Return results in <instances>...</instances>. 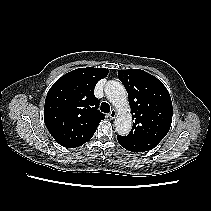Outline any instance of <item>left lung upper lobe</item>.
<instances>
[{
  "instance_id": "left-lung-upper-lobe-1",
  "label": "left lung upper lobe",
  "mask_w": 211,
  "mask_h": 211,
  "mask_svg": "<svg viewBox=\"0 0 211 211\" xmlns=\"http://www.w3.org/2000/svg\"><path fill=\"white\" fill-rule=\"evenodd\" d=\"M118 77L129 98L131 132L117 136L118 142L132 152L155 148L168 133L172 122V101L166 87L153 75L140 70H119Z\"/></svg>"
}]
</instances>
